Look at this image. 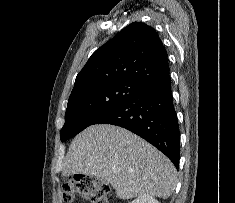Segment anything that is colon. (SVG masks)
<instances>
[{"label": "colon", "instance_id": "1", "mask_svg": "<svg viewBox=\"0 0 235 203\" xmlns=\"http://www.w3.org/2000/svg\"><path fill=\"white\" fill-rule=\"evenodd\" d=\"M64 203H72L78 196L91 203H110L111 190L89 175H74L62 184Z\"/></svg>", "mask_w": 235, "mask_h": 203}]
</instances>
